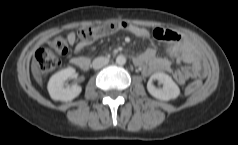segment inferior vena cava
Masks as SVG:
<instances>
[{
	"label": "inferior vena cava",
	"mask_w": 238,
	"mask_h": 145,
	"mask_svg": "<svg viewBox=\"0 0 238 145\" xmlns=\"http://www.w3.org/2000/svg\"><path fill=\"white\" fill-rule=\"evenodd\" d=\"M109 63L107 57H97L93 60L92 66L95 70L100 69Z\"/></svg>",
	"instance_id": "602c4592"
}]
</instances>
